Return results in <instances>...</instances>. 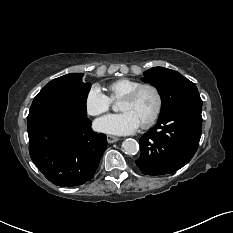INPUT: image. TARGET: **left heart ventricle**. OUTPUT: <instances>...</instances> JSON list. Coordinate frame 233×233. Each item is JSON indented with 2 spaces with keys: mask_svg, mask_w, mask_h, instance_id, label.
Instances as JSON below:
<instances>
[{
  "mask_svg": "<svg viewBox=\"0 0 233 233\" xmlns=\"http://www.w3.org/2000/svg\"><path fill=\"white\" fill-rule=\"evenodd\" d=\"M157 104L154 91L150 88L143 89L133 101H121L119 108L123 112L133 113L143 124L153 114Z\"/></svg>",
  "mask_w": 233,
  "mask_h": 233,
  "instance_id": "1",
  "label": "left heart ventricle"
}]
</instances>
